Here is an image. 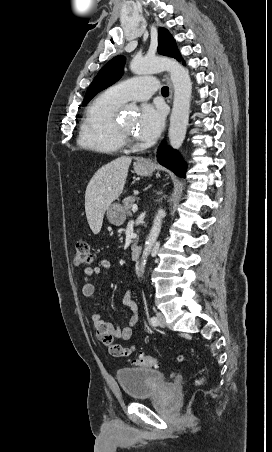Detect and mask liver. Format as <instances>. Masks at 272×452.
Listing matches in <instances>:
<instances>
[{"label": "liver", "mask_w": 272, "mask_h": 452, "mask_svg": "<svg viewBox=\"0 0 272 452\" xmlns=\"http://www.w3.org/2000/svg\"><path fill=\"white\" fill-rule=\"evenodd\" d=\"M132 158L121 156L94 174L85 192V212L94 234L101 230L106 210L122 193Z\"/></svg>", "instance_id": "liver-1"}]
</instances>
